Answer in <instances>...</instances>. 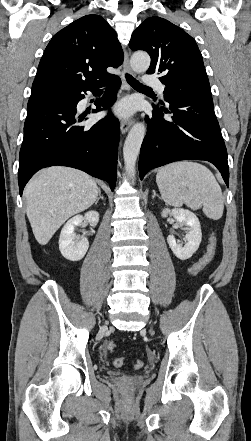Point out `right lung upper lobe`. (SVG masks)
<instances>
[{
	"label": "right lung upper lobe",
	"instance_id": "right-lung-upper-lobe-1",
	"mask_svg": "<svg viewBox=\"0 0 251 441\" xmlns=\"http://www.w3.org/2000/svg\"><path fill=\"white\" fill-rule=\"evenodd\" d=\"M123 52L116 32L99 15H86L56 33L40 60L31 95L97 86L112 75Z\"/></svg>",
	"mask_w": 251,
	"mask_h": 441
}]
</instances>
